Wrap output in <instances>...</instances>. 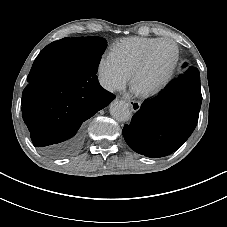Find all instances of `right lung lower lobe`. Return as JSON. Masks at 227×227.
Returning a JSON list of instances; mask_svg holds the SVG:
<instances>
[{"label": "right lung lower lobe", "mask_w": 227, "mask_h": 227, "mask_svg": "<svg viewBox=\"0 0 227 227\" xmlns=\"http://www.w3.org/2000/svg\"><path fill=\"white\" fill-rule=\"evenodd\" d=\"M70 46L65 38L47 45L32 66L45 77L29 82L22 93V116L30 137L48 158L76 153L86 121L115 98L100 86L97 76H77L61 67Z\"/></svg>", "instance_id": "right-lung-lower-lobe-1"}]
</instances>
